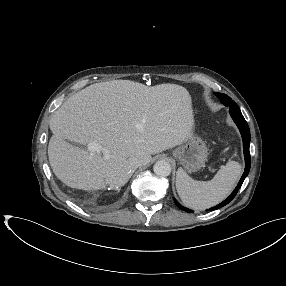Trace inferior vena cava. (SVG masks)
<instances>
[{"label": "inferior vena cava", "mask_w": 286, "mask_h": 286, "mask_svg": "<svg viewBox=\"0 0 286 286\" xmlns=\"http://www.w3.org/2000/svg\"><path fill=\"white\" fill-rule=\"evenodd\" d=\"M139 166H141V162L140 161H135L132 165V170H135L136 168H138Z\"/></svg>", "instance_id": "obj_1"}]
</instances>
